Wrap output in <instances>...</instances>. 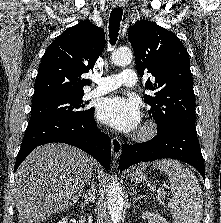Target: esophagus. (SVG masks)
Segmentation results:
<instances>
[{"label": "esophagus", "instance_id": "obj_1", "mask_svg": "<svg viewBox=\"0 0 221 223\" xmlns=\"http://www.w3.org/2000/svg\"><path fill=\"white\" fill-rule=\"evenodd\" d=\"M114 7L122 8L124 7V2H122L121 0L119 1L116 0L114 1ZM121 150H122V142L118 138L113 137L111 140V152L114 159H118L120 157Z\"/></svg>", "mask_w": 221, "mask_h": 223}]
</instances>
